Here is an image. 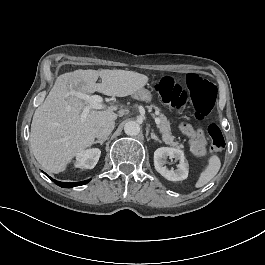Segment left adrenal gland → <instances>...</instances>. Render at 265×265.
<instances>
[{
  "label": "left adrenal gland",
  "mask_w": 265,
  "mask_h": 265,
  "mask_svg": "<svg viewBox=\"0 0 265 265\" xmlns=\"http://www.w3.org/2000/svg\"><path fill=\"white\" fill-rule=\"evenodd\" d=\"M151 138L158 141L159 143H162V141L155 135L154 132L151 133Z\"/></svg>",
  "instance_id": "1"
}]
</instances>
